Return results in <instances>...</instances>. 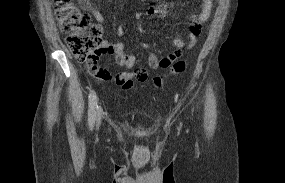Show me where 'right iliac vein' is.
Masks as SVG:
<instances>
[{"mask_svg":"<svg viewBox=\"0 0 285 183\" xmlns=\"http://www.w3.org/2000/svg\"><path fill=\"white\" fill-rule=\"evenodd\" d=\"M100 122H101V112L98 111V112H97V125H99Z\"/></svg>","mask_w":285,"mask_h":183,"instance_id":"obj_1","label":"right iliac vein"}]
</instances>
